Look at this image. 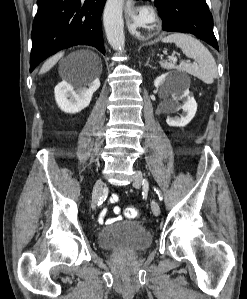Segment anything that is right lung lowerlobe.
<instances>
[{
    "label": "right lung lower lobe",
    "instance_id": "right-lung-lower-lobe-1",
    "mask_svg": "<svg viewBox=\"0 0 247 299\" xmlns=\"http://www.w3.org/2000/svg\"><path fill=\"white\" fill-rule=\"evenodd\" d=\"M106 0H37L30 72L59 50L90 45L105 54L100 16Z\"/></svg>",
    "mask_w": 247,
    "mask_h": 299
}]
</instances>
